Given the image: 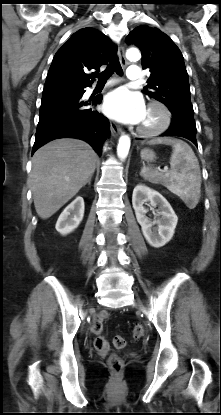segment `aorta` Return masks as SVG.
I'll return each mask as SVG.
<instances>
[{
    "label": "aorta",
    "mask_w": 221,
    "mask_h": 415,
    "mask_svg": "<svg viewBox=\"0 0 221 415\" xmlns=\"http://www.w3.org/2000/svg\"><path fill=\"white\" fill-rule=\"evenodd\" d=\"M126 57L130 61L138 60L141 57V54L137 48H129L126 52ZM131 140L128 135L123 134L119 138V143L117 146V155L120 159H125L129 153Z\"/></svg>",
    "instance_id": "1"
}]
</instances>
